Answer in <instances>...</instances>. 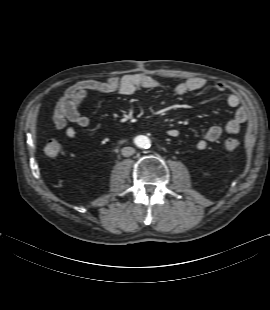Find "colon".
Returning a JSON list of instances; mask_svg holds the SVG:
<instances>
[{
    "mask_svg": "<svg viewBox=\"0 0 270 310\" xmlns=\"http://www.w3.org/2000/svg\"><path fill=\"white\" fill-rule=\"evenodd\" d=\"M239 146V141L237 138L234 137H228L223 142V148L226 151H235ZM45 154L50 158H56L59 157L63 153V147L62 144L56 140L51 139L47 142L45 146Z\"/></svg>",
    "mask_w": 270,
    "mask_h": 310,
    "instance_id": "5ec220e1",
    "label": "colon"
}]
</instances>
